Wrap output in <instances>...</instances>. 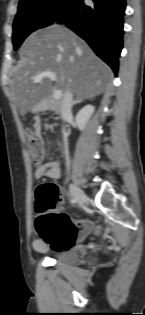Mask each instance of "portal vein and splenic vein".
I'll use <instances>...</instances> for the list:
<instances>
[{"mask_svg":"<svg viewBox=\"0 0 145 315\" xmlns=\"http://www.w3.org/2000/svg\"><path fill=\"white\" fill-rule=\"evenodd\" d=\"M45 77L51 79L52 81L56 80V75L53 72L44 71V72H41L34 77V82H36V83L41 82L42 79ZM53 97H54V99H60L62 97V91L61 90L54 91Z\"/></svg>","mask_w":145,"mask_h":315,"instance_id":"obj_1","label":"portal vein and splenic vein"}]
</instances>
